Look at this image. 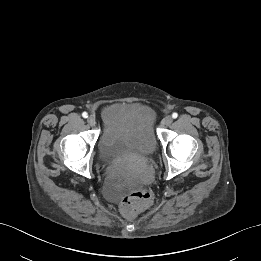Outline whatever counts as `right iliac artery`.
I'll return each mask as SVG.
<instances>
[{
  "label": "right iliac artery",
  "mask_w": 261,
  "mask_h": 261,
  "mask_svg": "<svg viewBox=\"0 0 261 261\" xmlns=\"http://www.w3.org/2000/svg\"><path fill=\"white\" fill-rule=\"evenodd\" d=\"M82 116H83V118H87L88 117V113L87 112H83Z\"/></svg>",
  "instance_id": "1"
}]
</instances>
